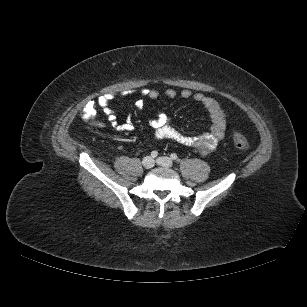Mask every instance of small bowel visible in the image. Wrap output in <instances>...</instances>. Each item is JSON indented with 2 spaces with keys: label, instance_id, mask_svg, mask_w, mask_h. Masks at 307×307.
Returning <instances> with one entry per match:
<instances>
[{
  "label": "small bowel",
  "instance_id": "1",
  "mask_svg": "<svg viewBox=\"0 0 307 307\" xmlns=\"http://www.w3.org/2000/svg\"><path fill=\"white\" fill-rule=\"evenodd\" d=\"M140 95L141 97L135 101V106L139 110H143L145 99L153 101L156 100L160 94L157 90L144 89L141 91ZM164 95L169 99H174L177 96V92L174 89H167ZM180 96L183 99L192 98L207 111L211 121L208 132L198 136L185 135L173 127L170 123V119L162 112H158L155 117L148 119V124L153 129L156 138L172 140L185 146L194 147L202 154H207L214 150L225 136L227 128L225 112L215 99L205 96L202 93H192L190 90L184 89L180 92ZM112 98L113 96L111 94L101 95L97 98V104L114 129L123 132L132 131L133 124L130 118L124 123L118 122L116 113L110 107ZM99 126L102 127L103 124L100 123Z\"/></svg>",
  "mask_w": 307,
  "mask_h": 307
}]
</instances>
